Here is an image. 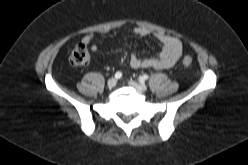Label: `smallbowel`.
Here are the masks:
<instances>
[{
  "label": "small bowel",
  "mask_w": 248,
  "mask_h": 165,
  "mask_svg": "<svg viewBox=\"0 0 248 165\" xmlns=\"http://www.w3.org/2000/svg\"><path fill=\"white\" fill-rule=\"evenodd\" d=\"M106 32V30H103L100 34H105ZM133 34L141 38L154 35L161 43V51L157 57L150 58H140L136 54H131L129 57V65L132 69H170L179 60L182 53V44L176 37L164 33H155L144 27L134 28ZM93 37V34H87L82 38L81 43L89 46ZM92 50L96 51L97 46L93 45Z\"/></svg>",
  "instance_id": "obj_1"
}]
</instances>
